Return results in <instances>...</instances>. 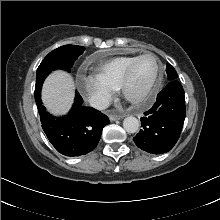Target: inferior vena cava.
<instances>
[{"instance_id":"obj_1","label":"inferior vena cava","mask_w":220,"mask_h":220,"mask_svg":"<svg viewBox=\"0 0 220 220\" xmlns=\"http://www.w3.org/2000/svg\"><path fill=\"white\" fill-rule=\"evenodd\" d=\"M90 105L98 110H104L109 106V101L102 95H95L89 100Z\"/></svg>"}]
</instances>
